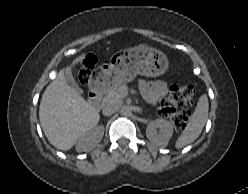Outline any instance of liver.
<instances>
[{"instance_id":"6515ba94","label":"liver","mask_w":248,"mask_h":194,"mask_svg":"<svg viewBox=\"0 0 248 194\" xmlns=\"http://www.w3.org/2000/svg\"><path fill=\"white\" fill-rule=\"evenodd\" d=\"M84 58L85 54L73 63ZM99 119V112L68 85L65 70H60L45 89L39 108L40 124L50 144L62 151L70 150Z\"/></svg>"}]
</instances>
